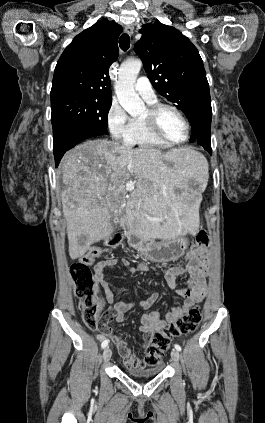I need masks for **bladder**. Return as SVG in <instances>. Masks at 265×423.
Instances as JSON below:
<instances>
[{
    "label": "bladder",
    "instance_id": "obj_1",
    "mask_svg": "<svg viewBox=\"0 0 265 423\" xmlns=\"http://www.w3.org/2000/svg\"><path fill=\"white\" fill-rule=\"evenodd\" d=\"M162 371L161 366L153 367V368H135V367H127L125 369L126 374L133 376V377H152L160 374Z\"/></svg>",
    "mask_w": 265,
    "mask_h": 423
}]
</instances>
